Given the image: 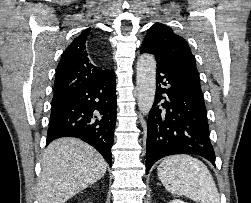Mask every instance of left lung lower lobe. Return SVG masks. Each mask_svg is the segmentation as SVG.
I'll return each instance as SVG.
<instances>
[{
  "mask_svg": "<svg viewBox=\"0 0 251 203\" xmlns=\"http://www.w3.org/2000/svg\"><path fill=\"white\" fill-rule=\"evenodd\" d=\"M141 53H150L141 48ZM157 61L155 101L148 118L146 173L162 157L196 154L215 166L200 83L181 67Z\"/></svg>",
  "mask_w": 251,
  "mask_h": 203,
  "instance_id": "left-lung-lower-lobe-1",
  "label": "left lung lower lobe"
}]
</instances>
